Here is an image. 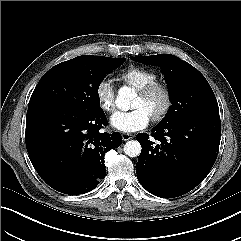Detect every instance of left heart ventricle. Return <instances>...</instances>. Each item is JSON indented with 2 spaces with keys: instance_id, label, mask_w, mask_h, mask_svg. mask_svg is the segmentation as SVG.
Returning a JSON list of instances; mask_svg holds the SVG:
<instances>
[{
  "instance_id": "b2bd125f",
  "label": "left heart ventricle",
  "mask_w": 241,
  "mask_h": 241,
  "mask_svg": "<svg viewBox=\"0 0 241 241\" xmlns=\"http://www.w3.org/2000/svg\"><path fill=\"white\" fill-rule=\"evenodd\" d=\"M163 104V97L160 93H155L148 98H142L138 93L132 103V108H143L151 117Z\"/></svg>"
}]
</instances>
